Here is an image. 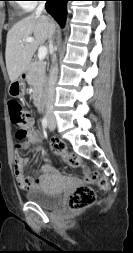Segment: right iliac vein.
<instances>
[{"instance_id":"63e3f726","label":"right iliac vein","mask_w":133,"mask_h":253,"mask_svg":"<svg viewBox=\"0 0 133 253\" xmlns=\"http://www.w3.org/2000/svg\"><path fill=\"white\" fill-rule=\"evenodd\" d=\"M53 126H56V122L55 121H51L50 122Z\"/></svg>"}]
</instances>
